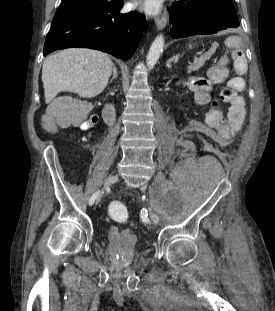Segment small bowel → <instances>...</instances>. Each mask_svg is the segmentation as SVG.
Returning <instances> with one entry per match:
<instances>
[{"label": "small bowel", "instance_id": "c3829d8e", "mask_svg": "<svg viewBox=\"0 0 275 311\" xmlns=\"http://www.w3.org/2000/svg\"><path fill=\"white\" fill-rule=\"evenodd\" d=\"M227 45L224 51L225 57H246L247 51L240 50L241 40L237 36L228 37L225 40ZM216 65H209V69L205 73H194V80H186L185 85L188 93H196L194 108H204L203 121L207 129H212L214 133V143H229L230 139L235 138V133H241L244 118V99L237 96L230 102L229 118H225L224 109L218 105L217 101L211 96L213 87L211 80H226L227 67L229 60H216ZM216 86H220L221 82L216 81ZM98 123V117L91 115L80 121L77 126L83 131L94 128Z\"/></svg>", "mask_w": 275, "mask_h": 311}]
</instances>
